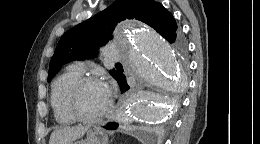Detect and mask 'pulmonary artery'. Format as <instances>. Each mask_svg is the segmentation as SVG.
Instances as JSON below:
<instances>
[{"mask_svg": "<svg viewBox=\"0 0 260 144\" xmlns=\"http://www.w3.org/2000/svg\"><path fill=\"white\" fill-rule=\"evenodd\" d=\"M104 55L110 60V61H117L122 59V55L118 52V50L112 46L105 47L103 49ZM73 67L80 72L85 71V66L82 62H76Z\"/></svg>", "mask_w": 260, "mask_h": 144, "instance_id": "1", "label": "pulmonary artery"}]
</instances>
